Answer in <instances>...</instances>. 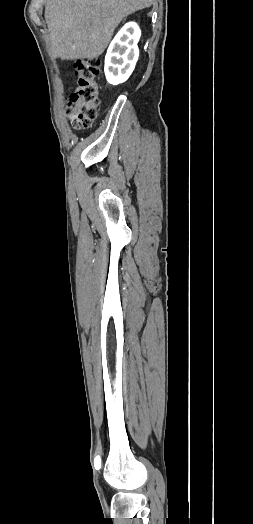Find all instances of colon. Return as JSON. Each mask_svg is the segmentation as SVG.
<instances>
[{
    "label": "colon",
    "instance_id": "5ec220e1",
    "mask_svg": "<svg viewBox=\"0 0 253 524\" xmlns=\"http://www.w3.org/2000/svg\"><path fill=\"white\" fill-rule=\"evenodd\" d=\"M99 69L100 60L96 58L83 59L75 63L77 83L69 97L66 113L72 126L77 130L90 127L97 116Z\"/></svg>",
    "mask_w": 253,
    "mask_h": 524
}]
</instances>
